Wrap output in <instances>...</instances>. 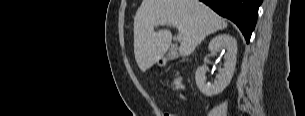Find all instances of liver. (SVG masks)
I'll return each mask as SVG.
<instances>
[{
    "label": "liver",
    "instance_id": "1",
    "mask_svg": "<svg viewBox=\"0 0 305 116\" xmlns=\"http://www.w3.org/2000/svg\"><path fill=\"white\" fill-rule=\"evenodd\" d=\"M160 21L179 30L182 56L192 54L206 36L228 25L199 0H143L134 19V54L142 72L152 67L170 47L169 30L154 32V26Z\"/></svg>",
    "mask_w": 305,
    "mask_h": 116
}]
</instances>
